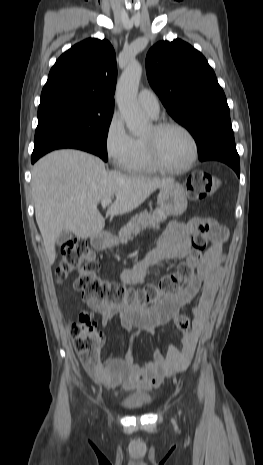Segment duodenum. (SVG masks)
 I'll use <instances>...</instances> for the list:
<instances>
[{
  "instance_id": "obj_1",
  "label": "duodenum",
  "mask_w": 263,
  "mask_h": 465,
  "mask_svg": "<svg viewBox=\"0 0 263 465\" xmlns=\"http://www.w3.org/2000/svg\"><path fill=\"white\" fill-rule=\"evenodd\" d=\"M109 239L108 236L104 234L97 235L92 240V245L97 250H103L108 246Z\"/></svg>"
}]
</instances>
